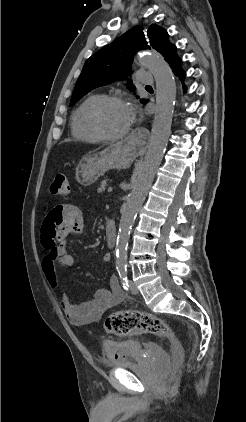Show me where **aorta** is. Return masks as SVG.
<instances>
[{
    "mask_svg": "<svg viewBox=\"0 0 246 422\" xmlns=\"http://www.w3.org/2000/svg\"><path fill=\"white\" fill-rule=\"evenodd\" d=\"M140 60L152 72L156 81V110L149 147L133 181L119 224L116 266L120 269L126 266L130 232L137 212L152 185L167 147L176 99L175 79L165 60L156 53H145L140 56Z\"/></svg>",
    "mask_w": 246,
    "mask_h": 422,
    "instance_id": "762f6f07",
    "label": "aorta"
}]
</instances>
